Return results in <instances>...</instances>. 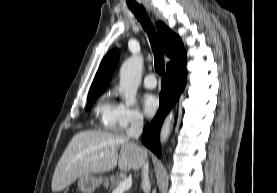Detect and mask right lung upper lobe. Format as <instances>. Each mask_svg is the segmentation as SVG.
Here are the masks:
<instances>
[{"instance_id": "1", "label": "right lung upper lobe", "mask_w": 277, "mask_h": 193, "mask_svg": "<svg viewBox=\"0 0 277 193\" xmlns=\"http://www.w3.org/2000/svg\"><path fill=\"white\" fill-rule=\"evenodd\" d=\"M157 31L159 37L161 38L166 55L171 58L170 63L174 62L175 60L186 54L180 37L174 34L163 22L157 23ZM118 61V50H113L109 52L103 58L91 85L89 94L95 92H103L105 90L111 80L112 73ZM170 63H168V65Z\"/></svg>"}]
</instances>
